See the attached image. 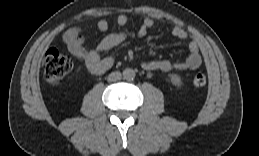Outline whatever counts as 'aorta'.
Returning a JSON list of instances; mask_svg holds the SVG:
<instances>
[{"mask_svg":"<svg viewBox=\"0 0 259 156\" xmlns=\"http://www.w3.org/2000/svg\"><path fill=\"white\" fill-rule=\"evenodd\" d=\"M123 77L124 79L126 80H133L135 78V72L133 69L131 68H126L124 71H123Z\"/></svg>","mask_w":259,"mask_h":156,"instance_id":"762f6f07","label":"aorta"}]
</instances>
